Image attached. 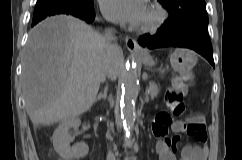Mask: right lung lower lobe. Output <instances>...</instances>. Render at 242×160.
<instances>
[{
  "label": "right lung lower lobe",
  "mask_w": 242,
  "mask_h": 160,
  "mask_svg": "<svg viewBox=\"0 0 242 160\" xmlns=\"http://www.w3.org/2000/svg\"><path fill=\"white\" fill-rule=\"evenodd\" d=\"M53 15H69V16H75L77 18H80L82 20L87 21L88 23L92 22L95 18V10L94 8L88 9V10H59V9H53L48 12H44L38 15L33 16L32 26L36 25L39 21L43 20L44 18L48 16Z\"/></svg>",
  "instance_id": "1"
}]
</instances>
